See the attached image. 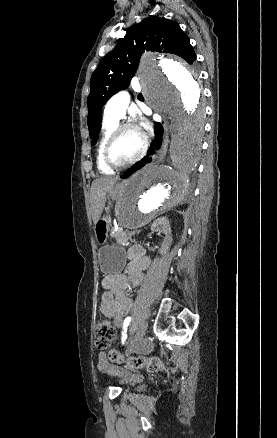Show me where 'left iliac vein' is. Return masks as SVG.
Here are the masks:
<instances>
[{
    "mask_svg": "<svg viewBox=\"0 0 277 438\" xmlns=\"http://www.w3.org/2000/svg\"><path fill=\"white\" fill-rule=\"evenodd\" d=\"M148 328V322L144 321L138 329L134 339L128 344L125 355H129L134 347L143 339Z\"/></svg>",
    "mask_w": 277,
    "mask_h": 438,
    "instance_id": "left-iliac-vein-1",
    "label": "left iliac vein"
}]
</instances>
